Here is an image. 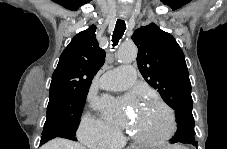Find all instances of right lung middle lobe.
Returning a JSON list of instances; mask_svg holds the SVG:
<instances>
[{
	"label": "right lung middle lobe",
	"mask_w": 227,
	"mask_h": 149,
	"mask_svg": "<svg viewBox=\"0 0 227 149\" xmlns=\"http://www.w3.org/2000/svg\"><path fill=\"white\" fill-rule=\"evenodd\" d=\"M86 96L87 92L50 94L42 137L75 136Z\"/></svg>",
	"instance_id": "1"
}]
</instances>
